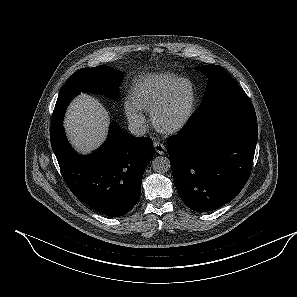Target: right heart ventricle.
Returning <instances> with one entry per match:
<instances>
[{
  "label": "right heart ventricle",
  "mask_w": 297,
  "mask_h": 297,
  "mask_svg": "<svg viewBox=\"0 0 297 297\" xmlns=\"http://www.w3.org/2000/svg\"><path fill=\"white\" fill-rule=\"evenodd\" d=\"M178 78L174 73L146 74L132 83L129 91L130 101L138 109L150 112Z\"/></svg>",
  "instance_id": "1"
}]
</instances>
